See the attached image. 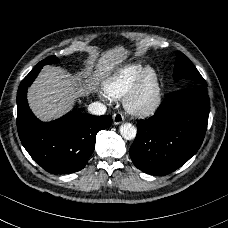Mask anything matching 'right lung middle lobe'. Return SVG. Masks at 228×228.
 Segmentation results:
<instances>
[{"label":"right lung middle lobe","mask_w":228,"mask_h":228,"mask_svg":"<svg viewBox=\"0 0 228 228\" xmlns=\"http://www.w3.org/2000/svg\"><path fill=\"white\" fill-rule=\"evenodd\" d=\"M57 62V58L55 56L47 57L46 59L39 62L35 67H43L44 65L51 64Z\"/></svg>","instance_id":"obj_1"}]
</instances>
